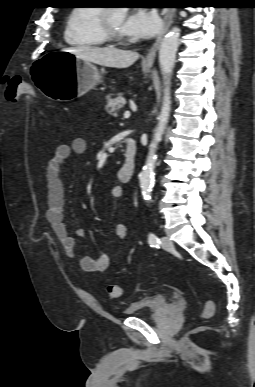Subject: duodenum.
<instances>
[{"label":"duodenum","instance_id":"410a0bca","mask_svg":"<svg viewBox=\"0 0 255 387\" xmlns=\"http://www.w3.org/2000/svg\"><path fill=\"white\" fill-rule=\"evenodd\" d=\"M137 145L134 139L128 138L126 142L124 162L118 170V177L123 182H129L136 167Z\"/></svg>","mask_w":255,"mask_h":387}]
</instances>
